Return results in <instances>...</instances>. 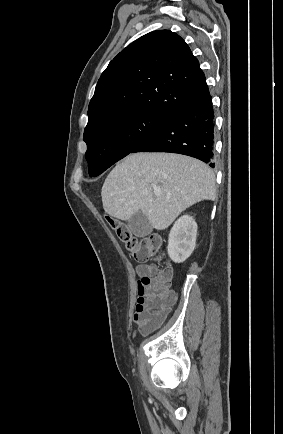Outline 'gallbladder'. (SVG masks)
I'll list each match as a JSON object with an SVG mask.
<instances>
[{"label":"gallbladder","instance_id":"bac80fb5","mask_svg":"<svg viewBox=\"0 0 283 434\" xmlns=\"http://www.w3.org/2000/svg\"><path fill=\"white\" fill-rule=\"evenodd\" d=\"M128 228L137 237H145L153 230L148 218L141 211L134 214L128 220Z\"/></svg>","mask_w":283,"mask_h":434}]
</instances>
